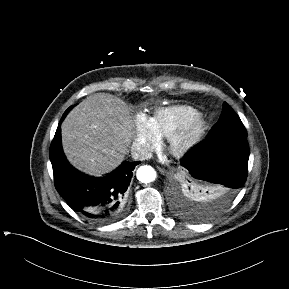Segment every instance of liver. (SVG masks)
<instances>
[{
  "mask_svg": "<svg viewBox=\"0 0 289 289\" xmlns=\"http://www.w3.org/2000/svg\"><path fill=\"white\" fill-rule=\"evenodd\" d=\"M133 128L132 116L122 100L105 93L90 95L61 125L64 153L78 170L102 176L124 160Z\"/></svg>",
  "mask_w": 289,
  "mask_h": 289,
  "instance_id": "1",
  "label": "liver"
}]
</instances>
